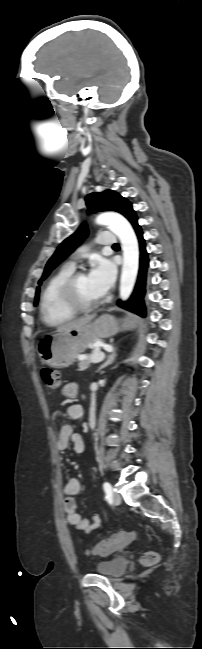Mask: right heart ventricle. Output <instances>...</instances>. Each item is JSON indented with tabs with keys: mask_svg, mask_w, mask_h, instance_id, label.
<instances>
[{
	"mask_svg": "<svg viewBox=\"0 0 202 649\" xmlns=\"http://www.w3.org/2000/svg\"><path fill=\"white\" fill-rule=\"evenodd\" d=\"M73 271L70 265L61 267L51 276L43 289L40 310L43 320L50 326L70 321L77 314L65 304L61 295L62 286Z\"/></svg>",
	"mask_w": 202,
	"mask_h": 649,
	"instance_id": "obj_1",
	"label": "right heart ventricle"
}]
</instances>
